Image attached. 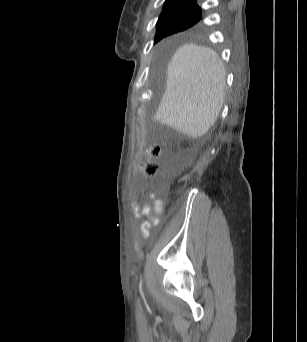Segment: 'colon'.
I'll return each mask as SVG.
<instances>
[{
    "mask_svg": "<svg viewBox=\"0 0 307 342\" xmlns=\"http://www.w3.org/2000/svg\"><path fill=\"white\" fill-rule=\"evenodd\" d=\"M160 147L158 145H152L147 150V157L141 164V171L148 177L155 176L160 168L155 162H152V158L159 156Z\"/></svg>",
    "mask_w": 307,
    "mask_h": 342,
    "instance_id": "5ec220e1",
    "label": "colon"
}]
</instances>
